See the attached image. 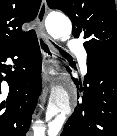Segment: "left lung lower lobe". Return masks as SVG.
Returning <instances> with one entry per match:
<instances>
[{"mask_svg": "<svg viewBox=\"0 0 117 136\" xmlns=\"http://www.w3.org/2000/svg\"><path fill=\"white\" fill-rule=\"evenodd\" d=\"M83 85L61 136H117V60L87 57Z\"/></svg>", "mask_w": 117, "mask_h": 136, "instance_id": "1", "label": "left lung lower lobe"}]
</instances>
